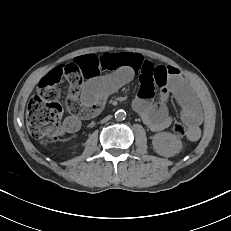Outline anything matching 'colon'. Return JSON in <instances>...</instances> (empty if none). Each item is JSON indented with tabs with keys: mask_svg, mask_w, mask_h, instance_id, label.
<instances>
[{
	"mask_svg": "<svg viewBox=\"0 0 231 231\" xmlns=\"http://www.w3.org/2000/svg\"><path fill=\"white\" fill-rule=\"evenodd\" d=\"M60 90L55 83L42 80L36 96L30 99L26 111V123L30 134L47 143L56 140L62 132V107L59 103ZM172 131L178 137L188 135L189 129L181 122L172 124Z\"/></svg>",
	"mask_w": 231,
	"mask_h": 231,
	"instance_id": "1",
	"label": "colon"
}]
</instances>
